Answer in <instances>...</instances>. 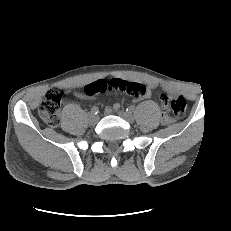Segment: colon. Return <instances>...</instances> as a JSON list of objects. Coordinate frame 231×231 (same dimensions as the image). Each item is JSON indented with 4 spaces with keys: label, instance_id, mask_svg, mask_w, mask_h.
I'll return each instance as SVG.
<instances>
[{
    "label": "colon",
    "instance_id": "1",
    "mask_svg": "<svg viewBox=\"0 0 231 231\" xmlns=\"http://www.w3.org/2000/svg\"><path fill=\"white\" fill-rule=\"evenodd\" d=\"M121 92L133 97H139L146 93V88L139 83L126 82L119 79L97 80L85 86L84 92L88 96H93L103 92ZM164 108L175 117L184 115L187 107L186 100L180 94L169 91L162 94ZM61 106V92L57 89L49 90L40 104L39 115L46 125L55 127L59 122V112Z\"/></svg>",
    "mask_w": 231,
    "mask_h": 231
}]
</instances>
